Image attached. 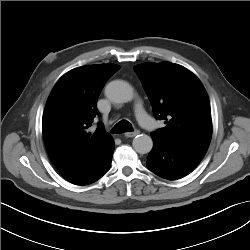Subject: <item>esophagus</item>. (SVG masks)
Segmentation results:
<instances>
[{
  "label": "esophagus",
  "instance_id": "obj_1",
  "mask_svg": "<svg viewBox=\"0 0 250 250\" xmlns=\"http://www.w3.org/2000/svg\"><path fill=\"white\" fill-rule=\"evenodd\" d=\"M140 133L139 130H135L133 132H127L125 133V136L128 137V138H131V137H135L136 135H138Z\"/></svg>",
  "mask_w": 250,
  "mask_h": 250
}]
</instances>
